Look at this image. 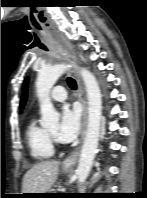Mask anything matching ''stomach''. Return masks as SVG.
Listing matches in <instances>:
<instances>
[{"instance_id": "0dacf381", "label": "stomach", "mask_w": 147, "mask_h": 198, "mask_svg": "<svg viewBox=\"0 0 147 198\" xmlns=\"http://www.w3.org/2000/svg\"><path fill=\"white\" fill-rule=\"evenodd\" d=\"M71 168L63 167L64 172H69Z\"/></svg>"}]
</instances>
